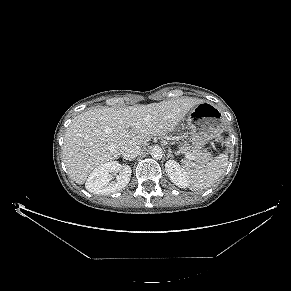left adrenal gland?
I'll list each match as a JSON object with an SVG mask.
<instances>
[{"instance_id":"a2214340","label":"left adrenal gland","mask_w":291,"mask_h":291,"mask_svg":"<svg viewBox=\"0 0 291 291\" xmlns=\"http://www.w3.org/2000/svg\"><path fill=\"white\" fill-rule=\"evenodd\" d=\"M169 157H173V154L170 148H168V154H167V158Z\"/></svg>"}]
</instances>
